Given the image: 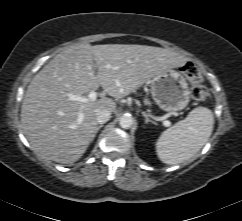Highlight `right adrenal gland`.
<instances>
[{
  "mask_svg": "<svg viewBox=\"0 0 242 221\" xmlns=\"http://www.w3.org/2000/svg\"><path fill=\"white\" fill-rule=\"evenodd\" d=\"M103 127V124L99 125L96 129L95 135L97 134V132Z\"/></svg>",
  "mask_w": 242,
  "mask_h": 221,
  "instance_id": "2a0ac1e0",
  "label": "right adrenal gland"
}]
</instances>
